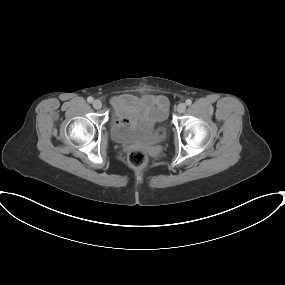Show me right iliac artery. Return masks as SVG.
Returning a JSON list of instances; mask_svg holds the SVG:
<instances>
[{"instance_id": "obj_1", "label": "right iliac artery", "mask_w": 285, "mask_h": 285, "mask_svg": "<svg viewBox=\"0 0 285 285\" xmlns=\"http://www.w3.org/2000/svg\"><path fill=\"white\" fill-rule=\"evenodd\" d=\"M87 101H88L89 103H92V102H93V98L90 96V97L87 98Z\"/></svg>"}]
</instances>
